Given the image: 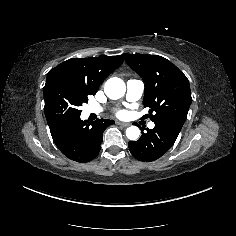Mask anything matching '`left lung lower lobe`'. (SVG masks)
Returning <instances> with one entry per match:
<instances>
[{
    "mask_svg": "<svg viewBox=\"0 0 236 236\" xmlns=\"http://www.w3.org/2000/svg\"><path fill=\"white\" fill-rule=\"evenodd\" d=\"M153 129L138 141L128 143L131 154L139 161H155L162 157L175 143L184 122L178 119H162L154 122Z\"/></svg>",
    "mask_w": 236,
    "mask_h": 236,
    "instance_id": "obj_1",
    "label": "left lung lower lobe"
}]
</instances>
